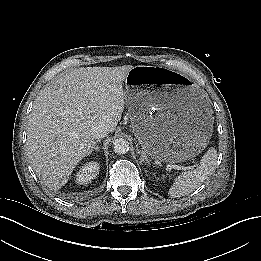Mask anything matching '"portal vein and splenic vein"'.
<instances>
[{
  "instance_id": "portal-vein-and-splenic-vein-1",
  "label": "portal vein and splenic vein",
  "mask_w": 261,
  "mask_h": 261,
  "mask_svg": "<svg viewBox=\"0 0 261 261\" xmlns=\"http://www.w3.org/2000/svg\"><path fill=\"white\" fill-rule=\"evenodd\" d=\"M167 167L169 169H177V170H192L194 167L193 166H179V165H173V164H168Z\"/></svg>"
}]
</instances>
